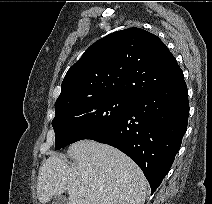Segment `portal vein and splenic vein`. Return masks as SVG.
<instances>
[{
	"mask_svg": "<svg viewBox=\"0 0 212 204\" xmlns=\"http://www.w3.org/2000/svg\"><path fill=\"white\" fill-rule=\"evenodd\" d=\"M85 190V188L84 187H80L79 189H78V191L81 193V192H83Z\"/></svg>",
	"mask_w": 212,
	"mask_h": 204,
	"instance_id": "obj_1",
	"label": "portal vein and splenic vein"
}]
</instances>
